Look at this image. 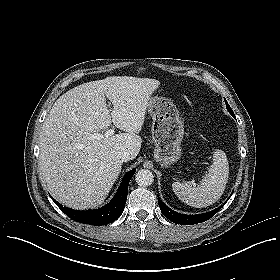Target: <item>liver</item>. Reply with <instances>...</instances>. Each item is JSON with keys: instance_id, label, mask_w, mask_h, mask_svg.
Here are the masks:
<instances>
[{"instance_id": "liver-1", "label": "liver", "mask_w": 280, "mask_h": 280, "mask_svg": "<svg viewBox=\"0 0 280 280\" xmlns=\"http://www.w3.org/2000/svg\"><path fill=\"white\" fill-rule=\"evenodd\" d=\"M159 86L156 79L110 76L76 86L56 100L40 132L39 169L57 201L80 210L104 202L122 169L121 154L127 151L134 159L140 152L139 132ZM112 122L124 133L93 138Z\"/></svg>"}]
</instances>
